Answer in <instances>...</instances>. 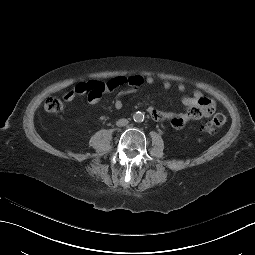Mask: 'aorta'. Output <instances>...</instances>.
<instances>
[{
  "instance_id": "1",
  "label": "aorta",
  "mask_w": 255,
  "mask_h": 255,
  "mask_svg": "<svg viewBox=\"0 0 255 255\" xmlns=\"http://www.w3.org/2000/svg\"><path fill=\"white\" fill-rule=\"evenodd\" d=\"M133 120L137 123L144 121V114L142 112H136L133 114Z\"/></svg>"
}]
</instances>
